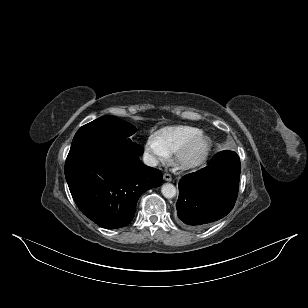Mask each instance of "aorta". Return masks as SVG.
<instances>
[{
    "label": "aorta",
    "instance_id": "aorta-1",
    "mask_svg": "<svg viewBox=\"0 0 308 308\" xmlns=\"http://www.w3.org/2000/svg\"><path fill=\"white\" fill-rule=\"evenodd\" d=\"M161 192L165 198H173L176 195V188L171 183H166L162 186Z\"/></svg>",
    "mask_w": 308,
    "mask_h": 308
}]
</instances>
